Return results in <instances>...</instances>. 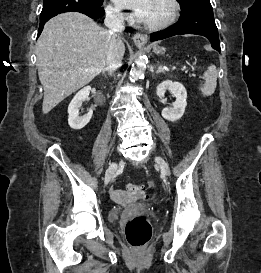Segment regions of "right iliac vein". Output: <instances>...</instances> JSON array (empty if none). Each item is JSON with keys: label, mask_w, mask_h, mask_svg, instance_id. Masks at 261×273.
<instances>
[{"label": "right iliac vein", "mask_w": 261, "mask_h": 273, "mask_svg": "<svg viewBox=\"0 0 261 273\" xmlns=\"http://www.w3.org/2000/svg\"><path fill=\"white\" fill-rule=\"evenodd\" d=\"M118 167L117 162H113L107 169L105 173V179H104V184L107 185L112 178L113 174L115 173L116 169Z\"/></svg>", "instance_id": "obj_1"}]
</instances>
